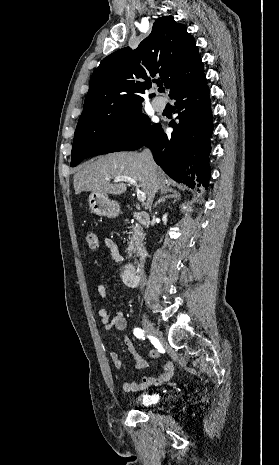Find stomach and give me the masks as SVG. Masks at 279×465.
Segmentation results:
<instances>
[{"label":"stomach","mask_w":279,"mask_h":465,"mask_svg":"<svg viewBox=\"0 0 279 465\" xmlns=\"http://www.w3.org/2000/svg\"><path fill=\"white\" fill-rule=\"evenodd\" d=\"M88 203L91 212L108 218L116 217L120 213V206L116 201L110 200L107 195L92 192Z\"/></svg>","instance_id":"stomach-1"}]
</instances>
